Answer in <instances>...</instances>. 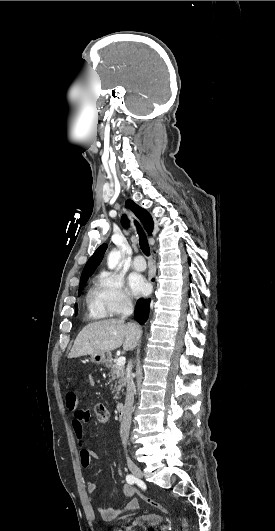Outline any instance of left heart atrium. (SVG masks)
Segmentation results:
<instances>
[{"label":"left heart atrium","instance_id":"1","mask_svg":"<svg viewBox=\"0 0 275 531\" xmlns=\"http://www.w3.org/2000/svg\"><path fill=\"white\" fill-rule=\"evenodd\" d=\"M128 288L133 294L140 295L146 291L147 283L142 275L131 273L128 277Z\"/></svg>","mask_w":275,"mask_h":531}]
</instances>
